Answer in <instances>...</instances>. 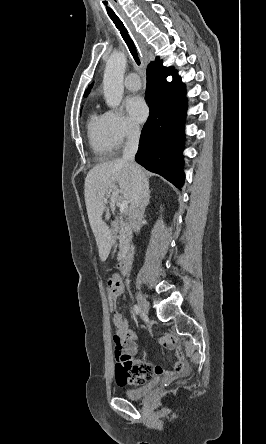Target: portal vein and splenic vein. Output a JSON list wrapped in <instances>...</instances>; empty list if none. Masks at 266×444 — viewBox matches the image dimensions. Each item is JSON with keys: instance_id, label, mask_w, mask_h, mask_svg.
Masks as SVG:
<instances>
[{"instance_id": "18ae733b", "label": "portal vein and splenic vein", "mask_w": 266, "mask_h": 444, "mask_svg": "<svg viewBox=\"0 0 266 444\" xmlns=\"http://www.w3.org/2000/svg\"><path fill=\"white\" fill-rule=\"evenodd\" d=\"M111 192H112V190H110V191L107 193V195L109 196ZM104 201L107 203V202H108V199H105ZM127 208H128V201H127V200H122V201L120 202V211H121V212H124V211H126Z\"/></svg>"}]
</instances>
